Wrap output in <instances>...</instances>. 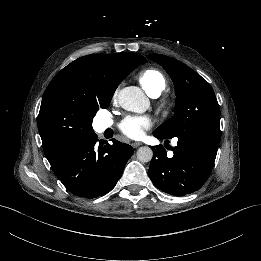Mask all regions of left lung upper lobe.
Segmentation results:
<instances>
[{"instance_id": "5c2ea615", "label": "left lung upper lobe", "mask_w": 261, "mask_h": 261, "mask_svg": "<svg viewBox=\"0 0 261 261\" xmlns=\"http://www.w3.org/2000/svg\"><path fill=\"white\" fill-rule=\"evenodd\" d=\"M148 58L167 71L177 96L175 116L160 125L154 133L167 139L195 128L219 133L220 109L212 87L194 70L174 58L161 54H151Z\"/></svg>"}]
</instances>
